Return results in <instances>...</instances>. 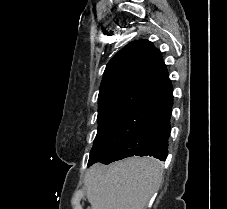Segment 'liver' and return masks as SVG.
I'll use <instances>...</instances> for the list:
<instances>
[{
    "label": "liver",
    "instance_id": "liver-1",
    "mask_svg": "<svg viewBox=\"0 0 227 209\" xmlns=\"http://www.w3.org/2000/svg\"><path fill=\"white\" fill-rule=\"evenodd\" d=\"M163 165L151 157H128L113 165H92L85 177L91 209H144L160 187Z\"/></svg>",
    "mask_w": 227,
    "mask_h": 209
}]
</instances>
